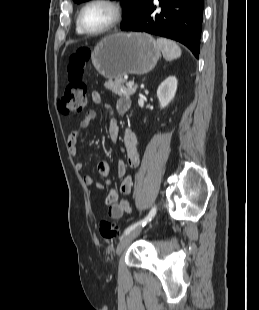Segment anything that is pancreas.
Listing matches in <instances>:
<instances>
[{
  "mask_svg": "<svg viewBox=\"0 0 259 310\" xmlns=\"http://www.w3.org/2000/svg\"><path fill=\"white\" fill-rule=\"evenodd\" d=\"M125 80L123 78L109 79L105 83V87L119 96H131L135 93L137 87L124 86Z\"/></svg>",
  "mask_w": 259,
  "mask_h": 310,
  "instance_id": "cf45deb5",
  "label": "pancreas"
}]
</instances>
